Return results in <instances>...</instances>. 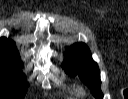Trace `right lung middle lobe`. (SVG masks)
<instances>
[{
    "label": "right lung middle lobe",
    "instance_id": "dd1d6c3e",
    "mask_svg": "<svg viewBox=\"0 0 128 99\" xmlns=\"http://www.w3.org/2000/svg\"><path fill=\"white\" fill-rule=\"evenodd\" d=\"M18 58H0V99H23L28 85Z\"/></svg>",
    "mask_w": 128,
    "mask_h": 99
}]
</instances>
